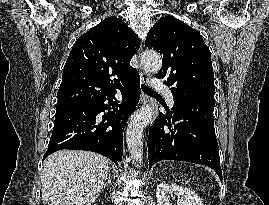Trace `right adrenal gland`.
Here are the masks:
<instances>
[{"instance_id": "1", "label": "right adrenal gland", "mask_w": 269, "mask_h": 205, "mask_svg": "<svg viewBox=\"0 0 269 205\" xmlns=\"http://www.w3.org/2000/svg\"><path fill=\"white\" fill-rule=\"evenodd\" d=\"M107 185H111V172H109V174H108V178H107V180L102 188V191L106 188Z\"/></svg>"}]
</instances>
